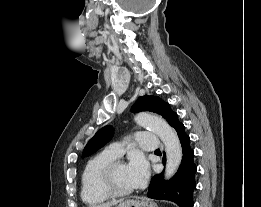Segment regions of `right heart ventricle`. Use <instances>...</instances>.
Wrapping results in <instances>:
<instances>
[{"instance_id":"1","label":"right heart ventricle","mask_w":261,"mask_h":207,"mask_svg":"<svg viewBox=\"0 0 261 207\" xmlns=\"http://www.w3.org/2000/svg\"><path fill=\"white\" fill-rule=\"evenodd\" d=\"M115 159L103 151L86 163L81 175V197L86 204L97 205L110 198L102 188L101 174L104 168Z\"/></svg>"}]
</instances>
